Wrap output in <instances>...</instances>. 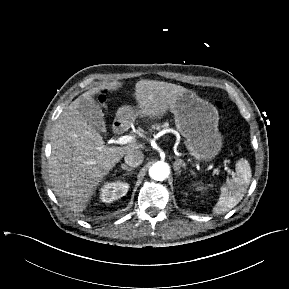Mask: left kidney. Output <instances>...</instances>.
Masks as SVG:
<instances>
[{"mask_svg":"<svg viewBox=\"0 0 289 289\" xmlns=\"http://www.w3.org/2000/svg\"><path fill=\"white\" fill-rule=\"evenodd\" d=\"M197 189H198V190H202V189H203V187L197 186Z\"/></svg>","mask_w":289,"mask_h":289,"instance_id":"1","label":"left kidney"}]
</instances>
